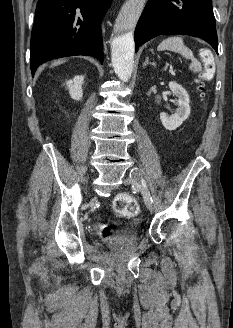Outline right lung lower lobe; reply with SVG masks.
I'll return each mask as SVG.
<instances>
[{"mask_svg":"<svg viewBox=\"0 0 233 328\" xmlns=\"http://www.w3.org/2000/svg\"><path fill=\"white\" fill-rule=\"evenodd\" d=\"M111 0H39L30 44L31 72L51 59L73 55L103 62L101 21Z\"/></svg>","mask_w":233,"mask_h":328,"instance_id":"1","label":"right lung lower lobe"}]
</instances>
